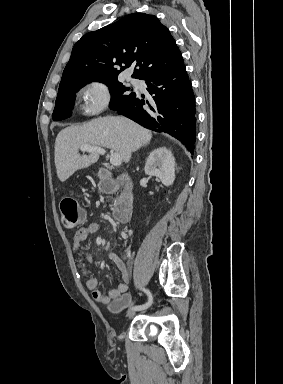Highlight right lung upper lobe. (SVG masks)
<instances>
[{"label":"right lung upper lobe","mask_w":283,"mask_h":384,"mask_svg":"<svg viewBox=\"0 0 283 384\" xmlns=\"http://www.w3.org/2000/svg\"><path fill=\"white\" fill-rule=\"evenodd\" d=\"M131 65L138 67L132 77L142 80L184 65L174 38L154 15L130 14L84 35L73 47L59 86L117 79Z\"/></svg>","instance_id":"1"}]
</instances>
